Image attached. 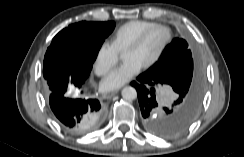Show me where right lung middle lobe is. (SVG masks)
<instances>
[{
  "label": "right lung middle lobe",
  "mask_w": 244,
  "mask_h": 157,
  "mask_svg": "<svg viewBox=\"0 0 244 157\" xmlns=\"http://www.w3.org/2000/svg\"><path fill=\"white\" fill-rule=\"evenodd\" d=\"M115 22H86L71 24L52 40L44 57L45 92L85 81L105 38L114 30Z\"/></svg>",
  "instance_id": "dd1d6c3e"
}]
</instances>
